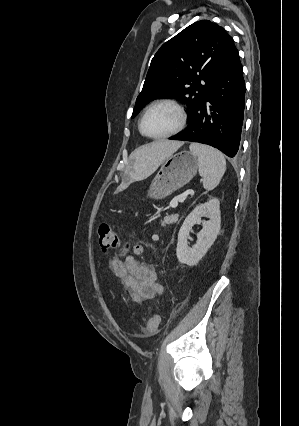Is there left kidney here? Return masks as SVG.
I'll use <instances>...</instances> for the list:
<instances>
[{"label":"left kidney","mask_w":299,"mask_h":426,"mask_svg":"<svg viewBox=\"0 0 299 426\" xmlns=\"http://www.w3.org/2000/svg\"><path fill=\"white\" fill-rule=\"evenodd\" d=\"M202 217H208L209 220L202 221L203 228L197 234L198 240L192 247H189V233L196 223L201 222ZM220 224V202L217 198L196 206L186 217L178 233L176 249L178 261L189 266L196 265L216 240L220 231Z\"/></svg>","instance_id":"5707ae66"}]
</instances>
